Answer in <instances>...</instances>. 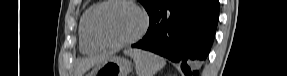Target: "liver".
<instances>
[{
  "label": "liver",
  "mask_w": 287,
  "mask_h": 76,
  "mask_svg": "<svg viewBox=\"0 0 287 76\" xmlns=\"http://www.w3.org/2000/svg\"><path fill=\"white\" fill-rule=\"evenodd\" d=\"M106 58L107 56H100V57L85 58L81 60L76 69V73H75L76 76H82L90 68H92L94 65L100 63Z\"/></svg>",
  "instance_id": "1"
}]
</instances>
